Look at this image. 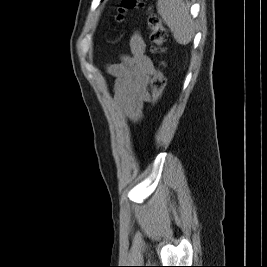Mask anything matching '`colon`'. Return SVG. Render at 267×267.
Returning a JSON list of instances; mask_svg holds the SVG:
<instances>
[{"mask_svg":"<svg viewBox=\"0 0 267 267\" xmlns=\"http://www.w3.org/2000/svg\"><path fill=\"white\" fill-rule=\"evenodd\" d=\"M140 0H122L119 8L118 19H122L124 13L131 8L141 6ZM148 29L150 32V40L152 43V52L160 54L165 51L164 44L167 40V30L161 18L151 13L148 17ZM160 68L154 74L151 81L152 99L158 103L162 97L164 88L166 86V77L161 69L164 66L163 62L159 64Z\"/></svg>","mask_w":267,"mask_h":267,"instance_id":"5ec220e1","label":"colon"}]
</instances>
